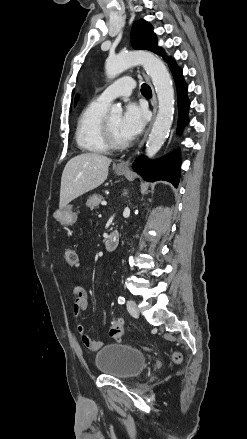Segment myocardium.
<instances>
[{"instance_id": "obj_1", "label": "myocardium", "mask_w": 247, "mask_h": 439, "mask_svg": "<svg viewBox=\"0 0 247 439\" xmlns=\"http://www.w3.org/2000/svg\"><path fill=\"white\" fill-rule=\"evenodd\" d=\"M102 131H103L104 142L109 149H115V150L124 149L129 145L127 141L120 142L116 140L107 118H104L103 120Z\"/></svg>"}]
</instances>
